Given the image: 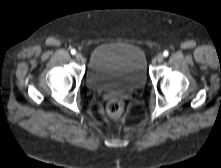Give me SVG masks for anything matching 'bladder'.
Returning <instances> with one entry per match:
<instances>
[{
    "label": "bladder",
    "mask_w": 221,
    "mask_h": 168,
    "mask_svg": "<svg viewBox=\"0 0 221 168\" xmlns=\"http://www.w3.org/2000/svg\"><path fill=\"white\" fill-rule=\"evenodd\" d=\"M147 78L146 56L137 45L106 43L91 52L86 84L92 91L126 94L142 88Z\"/></svg>",
    "instance_id": "1"
}]
</instances>
